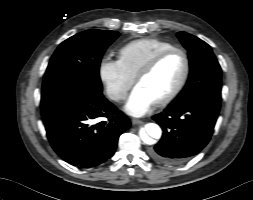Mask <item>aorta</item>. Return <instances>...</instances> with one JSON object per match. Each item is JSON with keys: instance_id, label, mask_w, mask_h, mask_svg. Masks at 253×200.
Instances as JSON below:
<instances>
[{"instance_id": "obj_1", "label": "aorta", "mask_w": 253, "mask_h": 200, "mask_svg": "<svg viewBox=\"0 0 253 200\" xmlns=\"http://www.w3.org/2000/svg\"><path fill=\"white\" fill-rule=\"evenodd\" d=\"M161 128L155 123H148L144 129L140 131V138L144 143L150 144L152 139H159L161 137Z\"/></svg>"}]
</instances>
